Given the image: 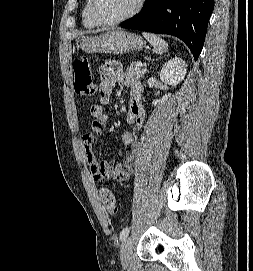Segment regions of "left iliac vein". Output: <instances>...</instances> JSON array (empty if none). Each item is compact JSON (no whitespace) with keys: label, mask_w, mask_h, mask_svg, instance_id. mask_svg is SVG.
Returning a JSON list of instances; mask_svg holds the SVG:
<instances>
[{"label":"left iliac vein","mask_w":253,"mask_h":271,"mask_svg":"<svg viewBox=\"0 0 253 271\" xmlns=\"http://www.w3.org/2000/svg\"><path fill=\"white\" fill-rule=\"evenodd\" d=\"M132 249H133V241L130 237H128L124 240L121 247V253H120L121 263L125 267L130 264Z\"/></svg>","instance_id":"obj_1"}]
</instances>
